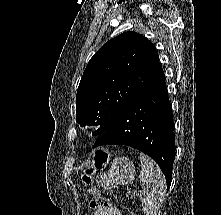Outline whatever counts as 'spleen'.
<instances>
[{"label": "spleen", "mask_w": 221, "mask_h": 215, "mask_svg": "<svg viewBox=\"0 0 221 215\" xmlns=\"http://www.w3.org/2000/svg\"><path fill=\"white\" fill-rule=\"evenodd\" d=\"M142 185V211L145 215H157L166 188L165 176L149 156L140 153Z\"/></svg>", "instance_id": "3e777b00"}]
</instances>
